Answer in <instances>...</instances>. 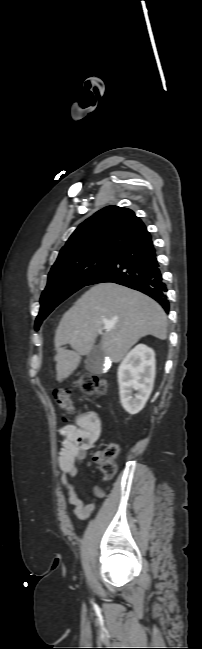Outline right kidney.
<instances>
[{"label":"right kidney","instance_id":"right-kidney-1","mask_svg":"<svg viewBox=\"0 0 202 649\" xmlns=\"http://www.w3.org/2000/svg\"><path fill=\"white\" fill-rule=\"evenodd\" d=\"M117 377L123 408L130 414H137L144 408L153 390L154 350L143 344L135 346L118 367ZM133 390L137 391L134 395Z\"/></svg>","mask_w":202,"mask_h":649}]
</instances>
